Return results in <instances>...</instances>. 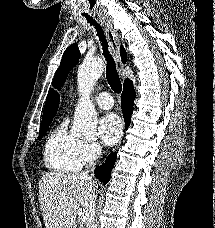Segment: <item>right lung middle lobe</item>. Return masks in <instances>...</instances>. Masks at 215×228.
Returning a JSON list of instances; mask_svg holds the SVG:
<instances>
[{
  "label": "right lung middle lobe",
  "mask_w": 215,
  "mask_h": 228,
  "mask_svg": "<svg viewBox=\"0 0 215 228\" xmlns=\"http://www.w3.org/2000/svg\"><path fill=\"white\" fill-rule=\"evenodd\" d=\"M51 123H44L40 126L39 139L41 140Z\"/></svg>",
  "instance_id": "obj_1"
}]
</instances>
